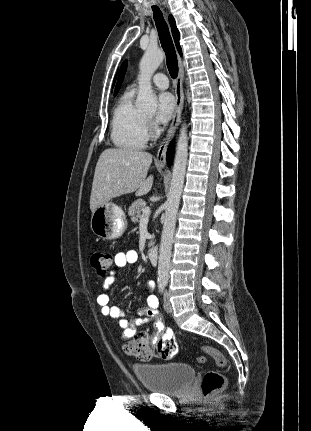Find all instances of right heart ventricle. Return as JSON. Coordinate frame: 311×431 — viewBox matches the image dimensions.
<instances>
[{
	"instance_id": "1",
	"label": "right heart ventricle",
	"mask_w": 311,
	"mask_h": 431,
	"mask_svg": "<svg viewBox=\"0 0 311 431\" xmlns=\"http://www.w3.org/2000/svg\"><path fill=\"white\" fill-rule=\"evenodd\" d=\"M110 136L120 150H138L146 145L149 136L147 118L133 104L131 90L122 95L113 110Z\"/></svg>"
}]
</instances>
